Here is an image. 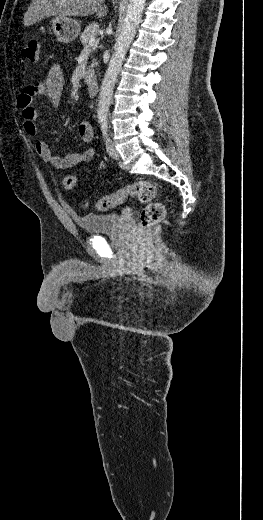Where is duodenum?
<instances>
[{
	"label": "duodenum",
	"mask_w": 263,
	"mask_h": 520,
	"mask_svg": "<svg viewBox=\"0 0 263 520\" xmlns=\"http://www.w3.org/2000/svg\"><path fill=\"white\" fill-rule=\"evenodd\" d=\"M88 93L90 96L94 97L98 93V82L94 78H89L87 81Z\"/></svg>",
	"instance_id": "410a0bca"
}]
</instances>
